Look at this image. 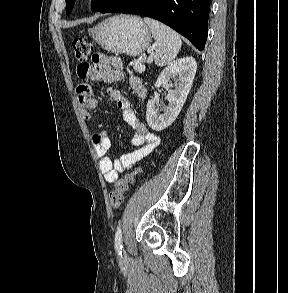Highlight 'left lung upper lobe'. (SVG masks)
Here are the masks:
<instances>
[{
    "label": "left lung upper lobe",
    "instance_id": "5c2ea615",
    "mask_svg": "<svg viewBox=\"0 0 288 293\" xmlns=\"http://www.w3.org/2000/svg\"><path fill=\"white\" fill-rule=\"evenodd\" d=\"M66 1V13L69 15L73 9L76 0H65ZM116 0H92V10L101 11L111 5Z\"/></svg>",
    "mask_w": 288,
    "mask_h": 293
}]
</instances>
